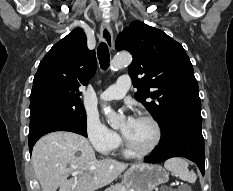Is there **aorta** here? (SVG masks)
<instances>
[{"label": "aorta", "instance_id": "1", "mask_svg": "<svg viewBox=\"0 0 233 191\" xmlns=\"http://www.w3.org/2000/svg\"><path fill=\"white\" fill-rule=\"evenodd\" d=\"M132 61V56L128 52L118 53L112 61V69H119L128 66ZM103 113L106 115L108 123L112 128H118L120 125L121 116L117 115L115 111L107 105L102 107Z\"/></svg>", "mask_w": 233, "mask_h": 191}]
</instances>
